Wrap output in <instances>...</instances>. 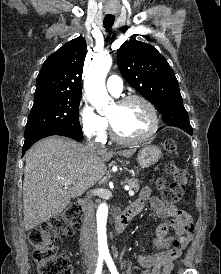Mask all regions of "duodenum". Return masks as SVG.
Wrapping results in <instances>:
<instances>
[{"label": "duodenum", "mask_w": 221, "mask_h": 274, "mask_svg": "<svg viewBox=\"0 0 221 274\" xmlns=\"http://www.w3.org/2000/svg\"><path fill=\"white\" fill-rule=\"evenodd\" d=\"M79 205L81 206L82 210L86 214L87 207H86L85 201L80 200ZM137 213L138 212L133 205L128 206L124 210H122L114 219V226H115L116 232L121 233V232L125 231L127 229L128 225L130 224L132 218Z\"/></svg>", "instance_id": "1"}]
</instances>
